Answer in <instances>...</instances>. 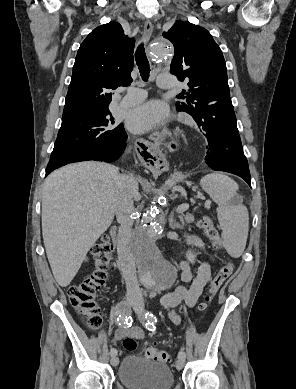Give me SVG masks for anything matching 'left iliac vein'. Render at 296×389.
I'll use <instances>...</instances> for the list:
<instances>
[{"mask_svg":"<svg viewBox=\"0 0 296 389\" xmlns=\"http://www.w3.org/2000/svg\"><path fill=\"white\" fill-rule=\"evenodd\" d=\"M133 309L134 311L138 314L140 319H143V314H144V305L142 301H137L136 303L133 304ZM177 370H181L184 367V359H179L176 361L175 364Z\"/></svg>","mask_w":296,"mask_h":389,"instance_id":"4c4485c4","label":"left iliac vein"}]
</instances>
